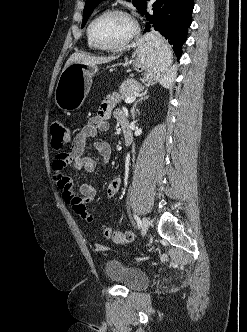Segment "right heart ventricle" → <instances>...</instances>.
Wrapping results in <instances>:
<instances>
[{
    "label": "right heart ventricle",
    "mask_w": 247,
    "mask_h": 332,
    "mask_svg": "<svg viewBox=\"0 0 247 332\" xmlns=\"http://www.w3.org/2000/svg\"><path fill=\"white\" fill-rule=\"evenodd\" d=\"M87 43H88V46L92 49H95L97 48L92 42L91 40L89 39V36H88V28H87Z\"/></svg>",
    "instance_id": "right-heart-ventricle-1"
}]
</instances>
